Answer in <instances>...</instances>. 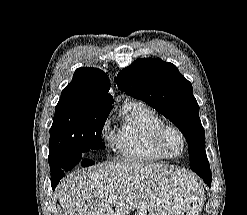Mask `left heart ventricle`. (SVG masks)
Masks as SVG:
<instances>
[{
    "label": "left heart ventricle",
    "mask_w": 247,
    "mask_h": 215,
    "mask_svg": "<svg viewBox=\"0 0 247 215\" xmlns=\"http://www.w3.org/2000/svg\"><path fill=\"white\" fill-rule=\"evenodd\" d=\"M168 148L173 153H178L181 150L182 144L179 136L175 133H170L167 138Z\"/></svg>",
    "instance_id": "obj_1"
}]
</instances>
